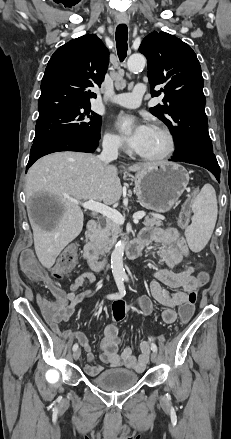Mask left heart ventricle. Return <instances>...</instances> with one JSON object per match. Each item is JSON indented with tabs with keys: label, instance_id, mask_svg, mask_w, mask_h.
<instances>
[{
	"label": "left heart ventricle",
	"instance_id": "obj_1",
	"mask_svg": "<svg viewBox=\"0 0 231 439\" xmlns=\"http://www.w3.org/2000/svg\"><path fill=\"white\" fill-rule=\"evenodd\" d=\"M166 147L167 140L165 136L159 130L152 128L138 153L144 155H158L164 152Z\"/></svg>",
	"mask_w": 231,
	"mask_h": 439
}]
</instances>
